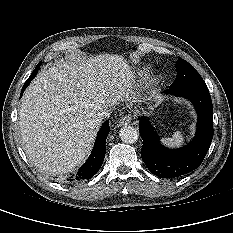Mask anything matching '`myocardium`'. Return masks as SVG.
Segmentation results:
<instances>
[{
	"label": "myocardium",
	"instance_id": "obj_1",
	"mask_svg": "<svg viewBox=\"0 0 233 233\" xmlns=\"http://www.w3.org/2000/svg\"><path fill=\"white\" fill-rule=\"evenodd\" d=\"M158 80V77H153L152 79H151V83H154V82H156Z\"/></svg>",
	"mask_w": 233,
	"mask_h": 233
}]
</instances>
